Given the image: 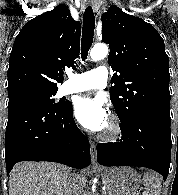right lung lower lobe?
I'll return each instance as SVG.
<instances>
[{"label": "right lung lower lobe", "instance_id": "obj_1", "mask_svg": "<svg viewBox=\"0 0 178 195\" xmlns=\"http://www.w3.org/2000/svg\"><path fill=\"white\" fill-rule=\"evenodd\" d=\"M7 174L20 161H52L74 168L90 165L87 137L73 118L72 103L62 107L17 104L8 108Z\"/></svg>", "mask_w": 178, "mask_h": 195}]
</instances>
